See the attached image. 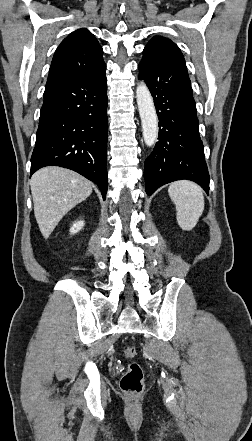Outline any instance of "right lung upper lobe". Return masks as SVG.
Segmentation results:
<instances>
[{
	"label": "right lung upper lobe",
	"mask_w": 252,
	"mask_h": 441,
	"mask_svg": "<svg viewBox=\"0 0 252 441\" xmlns=\"http://www.w3.org/2000/svg\"><path fill=\"white\" fill-rule=\"evenodd\" d=\"M103 50L85 28L68 35L56 49L46 87L106 68Z\"/></svg>",
	"instance_id": "cb5924a9"
}]
</instances>
